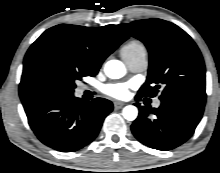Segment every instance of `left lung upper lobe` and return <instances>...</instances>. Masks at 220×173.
Wrapping results in <instances>:
<instances>
[{
    "label": "left lung upper lobe",
    "instance_id": "5c2ea615",
    "mask_svg": "<svg viewBox=\"0 0 220 173\" xmlns=\"http://www.w3.org/2000/svg\"><path fill=\"white\" fill-rule=\"evenodd\" d=\"M141 40L149 51L148 77L139 97L178 100L204 106L206 102L205 65L192 38L177 25L146 19L120 24Z\"/></svg>",
    "mask_w": 220,
    "mask_h": 173
}]
</instances>
